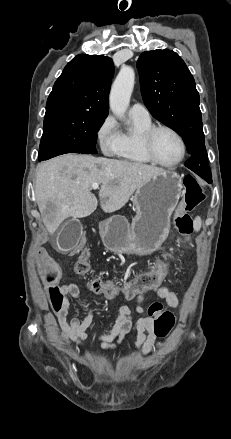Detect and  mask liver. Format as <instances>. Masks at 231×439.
<instances>
[{
  "mask_svg": "<svg viewBox=\"0 0 231 439\" xmlns=\"http://www.w3.org/2000/svg\"><path fill=\"white\" fill-rule=\"evenodd\" d=\"M165 170L152 165L65 154L37 168L35 195L43 223L50 235L67 218H84L98 205L92 184L101 185L100 206L106 213L121 209L130 196L152 177Z\"/></svg>",
  "mask_w": 231,
  "mask_h": 439,
  "instance_id": "1",
  "label": "liver"
}]
</instances>
